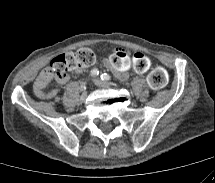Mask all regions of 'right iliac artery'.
Wrapping results in <instances>:
<instances>
[{
	"label": "right iliac artery",
	"mask_w": 215,
	"mask_h": 183,
	"mask_svg": "<svg viewBox=\"0 0 215 183\" xmlns=\"http://www.w3.org/2000/svg\"><path fill=\"white\" fill-rule=\"evenodd\" d=\"M98 74H99V71H98V69H95V68L92 69L90 72V76H92V77H96V76H98ZM83 89H86L85 83H82V85H81V90H83Z\"/></svg>",
	"instance_id": "right-iliac-artery-1"
}]
</instances>
